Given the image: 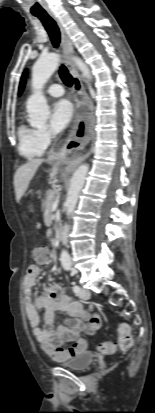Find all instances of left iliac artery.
<instances>
[{"instance_id": "obj_1", "label": "left iliac artery", "mask_w": 155, "mask_h": 413, "mask_svg": "<svg viewBox=\"0 0 155 413\" xmlns=\"http://www.w3.org/2000/svg\"><path fill=\"white\" fill-rule=\"evenodd\" d=\"M73 274V273H72ZM73 292L78 294L80 292V287L78 285L73 286Z\"/></svg>"}]
</instances>
